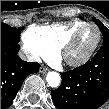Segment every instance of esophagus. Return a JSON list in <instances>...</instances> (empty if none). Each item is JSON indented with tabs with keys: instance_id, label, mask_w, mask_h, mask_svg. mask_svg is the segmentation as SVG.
<instances>
[{
	"instance_id": "1",
	"label": "esophagus",
	"mask_w": 109,
	"mask_h": 109,
	"mask_svg": "<svg viewBox=\"0 0 109 109\" xmlns=\"http://www.w3.org/2000/svg\"><path fill=\"white\" fill-rule=\"evenodd\" d=\"M47 71H49V69L46 66H41L39 69L40 73H46Z\"/></svg>"
}]
</instances>
